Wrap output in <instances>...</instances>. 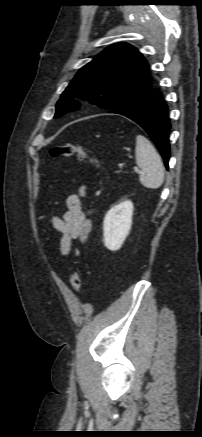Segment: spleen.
<instances>
[{
    "instance_id": "1",
    "label": "spleen",
    "mask_w": 202,
    "mask_h": 437,
    "mask_svg": "<svg viewBox=\"0 0 202 437\" xmlns=\"http://www.w3.org/2000/svg\"><path fill=\"white\" fill-rule=\"evenodd\" d=\"M136 164L141 169L140 183L149 189H157L164 182V166L160 155L142 135L136 137Z\"/></svg>"
}]
</instances>
